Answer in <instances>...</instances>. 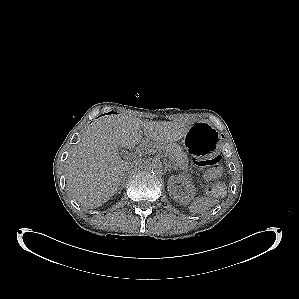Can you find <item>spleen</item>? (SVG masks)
Masks as SVG:
<instances>
[{
	"label": "spleen",
	"instance_id": "obj_1",
	"mask_svg": "<svg viewBox=\"0 0 299 299\" xmlns=\"http://www.w3.org/2000/svg\"><path fill=\"white\" fill-rule=\"evenodd\" d=\"M216 204V199L206 196H198L188 207L190 213L203 214Z\"/></svg>",
	"mask_w": 299,
	"mask_h": 299
}]
</instances>
